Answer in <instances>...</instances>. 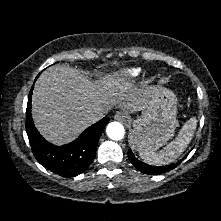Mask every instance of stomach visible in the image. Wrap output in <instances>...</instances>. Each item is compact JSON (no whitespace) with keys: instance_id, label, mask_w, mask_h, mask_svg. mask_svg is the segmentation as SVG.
<instances>
[{"instance_id":"0dacf381","label":"stomach","mask_w":221,"mask_h":221,"mask_svg":"<svg viewBox=\"0 0 221 221\" xmlns=\"http://www.w3.org/2000/svg\"><path fill=\"white\" fill-rule=\"evenodd\" d=\"M177 98L169 89L150 88L147 102L132 126L129 142L137 151H154L167 143L177 126Z\"/></svg>"}]
</instances>
